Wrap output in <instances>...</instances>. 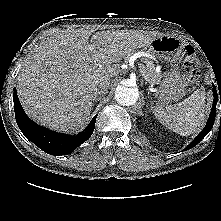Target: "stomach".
Instances as JSON below:
<instances>
[{
    "label": "stomach",
    "instance_id": "1",
    "mask_svg": "<svg viewBox=\"0 0 221 221\" xmlns=\"http://www.w3.org/2000/svg\"><path fill=\"white\" fill-rule=\"evenodd\" d=\"M186 43L175 36L159 35L144 49L158 61L165 62L169 69L160 79L157 92L158 99L164 103L177 101L185 95L186 83L180 71L179 63L183 57Z\"/></svg>",
    "mask_w": 221,
    "mask_h": 221
}]
</instances>
